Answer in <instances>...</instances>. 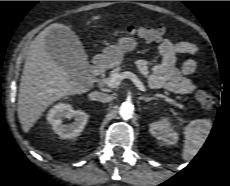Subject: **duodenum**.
<instances>
[{
    "mask_svg": "<svg viewBox=\"0 0 230 186\" xmlns=\"http://www.w3.org/2000/svg\"><path fill=\"white\" fill-rule=\"evenodd\" d=\"M103 69V65L99 61L89 64L88 71L93 78H96Z\"/></svg>",
    "mask_w": 230,
    "mask_h": 186,
    "instance_id": "duodenum-1",
    "label": "duodenum"
}]
</instances>
